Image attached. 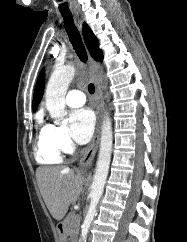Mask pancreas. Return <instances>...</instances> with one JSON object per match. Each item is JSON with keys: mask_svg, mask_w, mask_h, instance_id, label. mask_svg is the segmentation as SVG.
<instances>
[{"mask_svg": "<svg viewBox=\"0 0 187 242\" xmlns=\"http://www.w3.org/2000/svg\"><path fill=\"white\" fill-rule=\"evenodd\" d=\"M64 225L71 242H76L80 229V216L75 214V212H71L64 220Z\"/></svg>", "mask_w": 187, "mask_h": 242, "instance_id": "1", "label": "pancreas"}]
</instances>
